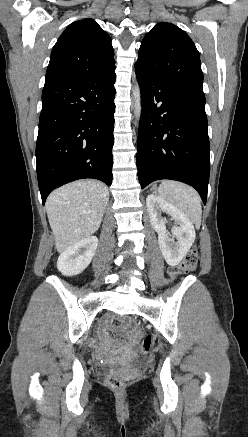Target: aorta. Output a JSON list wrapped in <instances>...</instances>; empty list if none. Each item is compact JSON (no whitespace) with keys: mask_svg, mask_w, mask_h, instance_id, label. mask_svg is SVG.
Listing matches in <instances>:
<instances>
[{"mask_svg":"<svg viewBox=\"0 0 248 437\" xmlns=\"http://www.w3.org/2000/svg\"><path fill=\"white\" fill-rule=\"evenodd\" d=\"M133 97H134V101H135L134 113H135V117H136V125H138V121H139L140 115H141V94H140V89H139L138 84H136L135 89L133 91Z\"/></svg>","mask_w":248,"mask_h":437,"instance_id":"aorta-1","label":"aorta"}]
</instances>
